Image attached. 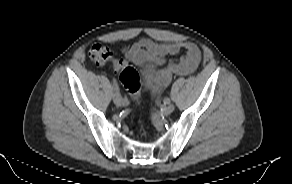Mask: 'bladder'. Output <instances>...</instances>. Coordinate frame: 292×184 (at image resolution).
I'll use <instances>...</instances> for the list:
<instances>
[{
  "instance_id": "obj_1",
  "label": "bladder",
  "mask_w": 292,
  "mask_h": 184,
  "mask_svg": "<svg viewBox=\"0 0 292 184\" xmlns=\"http://www.w3.org/2000/svg\"><path fill=\"white\" fill-rule=\"evenodd\" d=\"M150 83H151V84H150V87H151V88H155L156 85H155V83H154L152 80H151Z\"/></svg>"
}]
</instances>
